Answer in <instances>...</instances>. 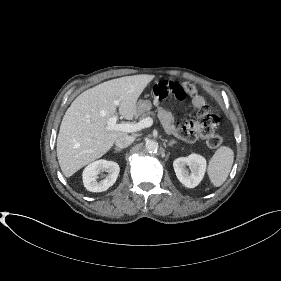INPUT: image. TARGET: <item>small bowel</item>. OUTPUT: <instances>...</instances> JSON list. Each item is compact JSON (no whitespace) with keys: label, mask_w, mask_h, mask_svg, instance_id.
<instances>
[{"label":"small bowel","mask_w":281,"mask_h":281,"mask_svg":"<svg viewBox=\"0 0 281 281\" xmlns=\"http://www.w3.org/2000/svg\"><path fill=\"white\" fill-rule=\"evenodd\" d=\"M192 105L197 109L206 108L207 106L205 98L201 95H195L193 97ZM157 106L159 118L168 133L186 141H193L199 137L201 127L198 122L187 120L182 124H177L174 122L172 114L168 110L160 106L158 102Z\"/></svg>","instance_id":"c3829d8e"}]
</instances>
